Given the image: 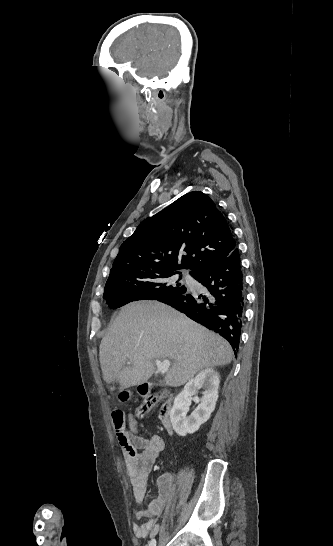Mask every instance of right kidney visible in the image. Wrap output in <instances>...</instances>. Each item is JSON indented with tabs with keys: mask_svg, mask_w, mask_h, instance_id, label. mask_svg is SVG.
Instances as JSON below:
<instances>
[{
	"mask_svg": "<svg viewBox=\"0 0 333 546\" xmlns=\"http://www.w3.org/2000/svg\"><path fill=\"white\" fill-rule=\"evenodd\" d=\"M220 375L213 368H207L189 380L184 389L176 396L170 411V420L174 431L179 436L196 432L204 424L215 409L218 399ZM203 388L201 404L185 417L191 405V397Z\"/></svg>",
	"mask_w": 333,
	"mask_h": 546,
	"instance_id": "ca27d5eb",
	"label": "right kidney"
}]
</instances>
